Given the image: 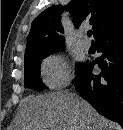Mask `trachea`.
Listing matches in <instances>:
<instances>
[{
    "label": "trachea",
    "mask_w": 123,
    "mask_h": 130,
    "mask_svg": "<svg viewBox=\"0 0 123 130\" xmlns=\"http://www.w3.org/2000/svg\"><path fill=\"white\" fill-rule=\"evenodd\" d=\"M87 35L90 37L92 35V31H88Z\"/></svg>",
    "instance_id": "1"
}]
</instances>
